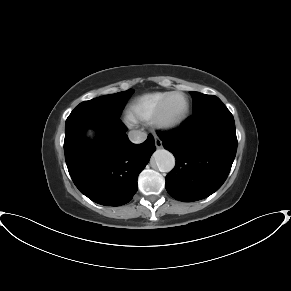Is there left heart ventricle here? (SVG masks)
<instances>
[{"label": "left heart ventricle", "mask_w": 291, "mask_h": 291, "mask_svg": "<svg viewBox=\"0 0 291 291\" xmlns=\"http://www.w3.org/2000/svg\"><path fill=\"white\" fill-rule=\"evenodd\" d=\"M186 108V100L183 96L177 95L170 99L165 112L167 121H175L181 118Z\"/></svg>", "instance_id": "left-heart-ventricle-1"}]
</instances>
